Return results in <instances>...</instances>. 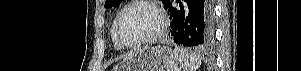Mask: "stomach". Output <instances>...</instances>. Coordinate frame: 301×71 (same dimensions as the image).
<instances>
[{
  "label": "stomach",
  "mask_w": 301,
  "mask_h": 71,
  "mask_svg": "<svg viewBox=\"0 0 301 71\" xmlns=\"http://www.w3.org/2000/svg\"><path fill=\"white\" fill-rule=\"evenodd\" d=\"M179 59L166 46L145 47L127 56L115 71H175Z\"/></svg>",
  "instance_id": "1"
}]
</instances>
